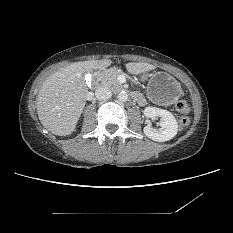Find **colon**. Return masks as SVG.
<instances>
[{
	"label": "colon",
	"mask_w": 233,
	"mask_h": 233,
	"mask_svg": "<svg viewBox=\"0 0 233 233\" xmlns=\"http://www.w3.org/2000/svg\"><path fill=\"white\" fill-rule=\"evenodd\" d=\"M176 111L180 114L178 118V125L180 129L186 128L190 124L188 114L191 111V106L187 101L180 100L176 103Z\"/></svg>",
	"instance_id": "colon-1"
}]
</instances>
